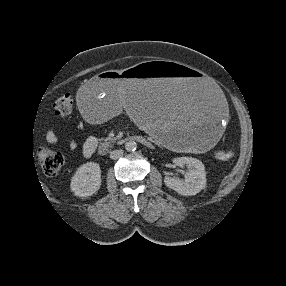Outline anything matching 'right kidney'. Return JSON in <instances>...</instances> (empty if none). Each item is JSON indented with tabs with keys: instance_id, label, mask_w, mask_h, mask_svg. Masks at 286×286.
I'll list each match as a JSON object with an SVG mask.
<instances>
[{
	"instance_id": "obj_1",
	"label": "right kidney",
	"mask_w": 286,
	"mask_h": 286,
	"mask_svg": "<svg viewBox=\"0 0 286 286\" xmlns=\"http://www.w3.org/2000/svg\"><path fill=\"white\" fill-rule=\"evenodd\" d=\"M101 169L96 162L81 165L71 179V190L78 197H88L96 193L101 186Z\"/></svg>"
}]
</instances>
